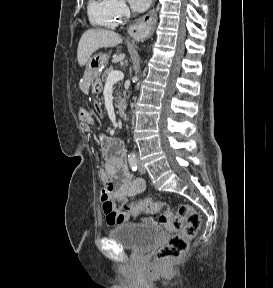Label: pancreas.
I'll use <instances>...</instances> for the list:
<instances>
[{
    "label": "pancreas",
    "mask_w": 273,
    "mask_h": 288,
    "mask_svg": "<svg viewBox=\"0 0 273 288\" xmlns=\"http://www.w3.org/2000/svg\"><path fill=\"white\" fill-rule=\"evenodd\" d=\"M114 71V68L111 66L109 68H107L104 73L102 74V81L103 82H107V78H108V75ZM116 95L119 96V93L116 92ZM117 99V98H116Z\"/></svg>",
    "instance_id": "pancreas-1"
}]
</instances>
